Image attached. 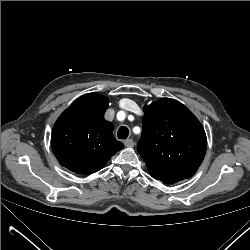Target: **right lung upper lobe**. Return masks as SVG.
<instances>
[{
    "label": "right lung upper lobe",
    "instance_id": "right-lung-upper-lobe-1",
    "mask_svg": "<svg viewBox=\"0 0 250 250\" xmlns=\"http://www.w3.org/2000/svg\"><path fill=\"white\" fill-rule=\"evenodd\" d=\"M107 97L90 93L78 98L57 119L51 146L59 163L82 174L99 171L123 144L113 136V124L104 119Z\"/></svg>",
    "mask_w": 250,
    "mask_h": 250
}]
</instances>
